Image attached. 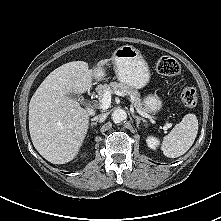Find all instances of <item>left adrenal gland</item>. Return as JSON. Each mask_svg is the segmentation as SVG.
<instances>
[{
  "label": "left adrenal gland",
  "mask_w": 221,
  "mask_h": 221,
  "mask_svg": "<svg viewBox=\"0 0 221 221\" xmlns=\"http://www.w3.org/2000/svg\"><path fill=\"white\" fill-rule=\"evenodd\" d=\"M133 118L136 120L137 127H139L140 122L142 121L144 124H147V121L141 117H138L132 114Z\"/></svg>",
  "instance_id": "1"
}]
</instances>
